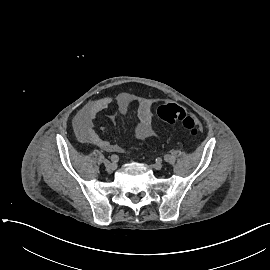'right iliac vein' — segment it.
Masks as SVG:
<instances>
[{
    "label": "right iliac vein",
    "instance_id": "1",
    "mask_svg": "<svg viewBox=\"0 0 270 270\" xmlns=\"http://www.w3.org/2000/svg\"><path fill=\"white\" fill-rule=\"evenodd\" d=\"M104 165L107 171L111 172L116 169L117 165L115 163L110 162L109 160H104Z\"/></svg>",
    "mask_w": 270,
    "mask_h": 270
}]
</instances>
